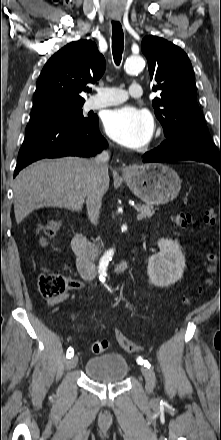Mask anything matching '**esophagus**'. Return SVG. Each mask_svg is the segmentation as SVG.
I'll return each mask as SVG.
<instances>
[{
    "mask_svg": "<svg viewBox=\"0 0 221 440\" xmlns=\"http://www.w3.org/2000/svg\"><path fill=\"white\" fill-rule=\"evenodd\" d=\"M115 20H120V17L115 18ZM121 171L123 174H128L129 172H131V167L128 165H123Z\"/></svg>",
    "mask_w": 221,
    "mask_h": 440,
    "instance_id": "1",
    "label": "esophagus"
}]
</instances>
